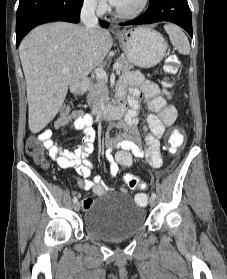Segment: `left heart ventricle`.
I'll list each match as a JSON object with an SVG mask.
<instances>
[{"instance_id": "1", "label": "left heart ventricle", "mask_w": 227, "mask_h": 279, "mask_svg": "<svg viewBox=\"0 0 227 279\" xmlns=\"http://www.w3.org/2000/svg\"><path fill=\"white\" fill-rule=\"evenodd\" d=\"M141 0H120L116 5L120 10L130 12L139 7Z\"/></svg>"}]
</instances>
